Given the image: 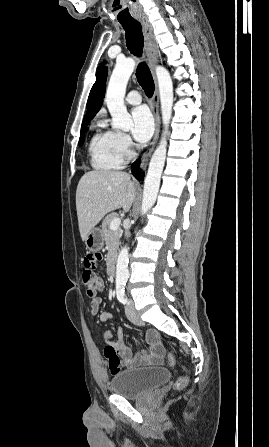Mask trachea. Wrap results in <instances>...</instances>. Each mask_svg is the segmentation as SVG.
Here are the masks:
<instances>
[{"mask_svg": "<svg viewBox=\"0 0 269 447\" xmlns=\"http://www.w3.org/2000/svg\"><path fill=\"white\" fill-rule=\"evenodd\" d=\"M126 32V44L128 49L135 56H140L143 51V34L139 22L133 20L131 22H120ZM136 77L139 85L143 88L146 95L151 97L154 93V80L146 63H140L136 70Z\"/></svg>", "mask_w": 269, "mask_h": 447, "instance_id": "1", "label": "trachea"}]
</instances>
